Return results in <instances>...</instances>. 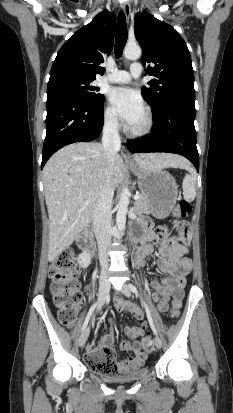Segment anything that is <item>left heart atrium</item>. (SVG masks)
Returning <instances> with one entry per match:
<instances>
[{"instance_id":"39dd6f15","label":"left heart atrium","mask_w":233,"mask_h":413,"mask_svg":"<svg viewBox=\"0 0 233 413\" xmlns=\"http://www.w3.org/2000/svg\"><path fill=\"white\" fill-rule=\"evenodd\" d=\"M110 101L116 112L128 126H132L144 114V102L136 90L116 88L110 94Z\"/></svg>"}]
</instances>
